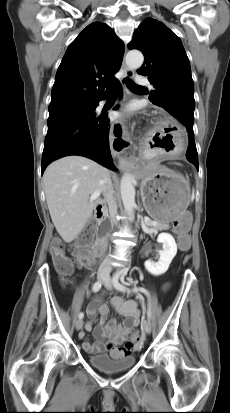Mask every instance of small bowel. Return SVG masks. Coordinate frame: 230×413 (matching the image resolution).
I'll use <instances>...</instances> for the list:
<instances>
[{
    "label": "small bowel",
    "instance_id": "obj_1",
    "mask_svg": "<svg viewBox=\"0 0 230 413\" xmlns=\"http://www.w3.org/2000/svg\"><path fill=\"white\" fill-rule=\"evenodd\" d=\"M175 231L179 234L177 230ZM111 305L120 315L125 317L124 322L118 324L115 319L106 322L110 308L96 298L87 308L89 321L85 325L86 331L93 330L96 341L94 343L88 341L84 332L80 333L79 337L83 340V349L90 354L109 353L113 358H122L131 352L125 349L126 341L128 335L140 322V312L136 302L125 300L120 296L113 297ZM98 314L101 315V319L98 325L93 328V321Z\"/></svg>",
    "mask_w": 230,
    "mask_h": 413
}]
</instances>
